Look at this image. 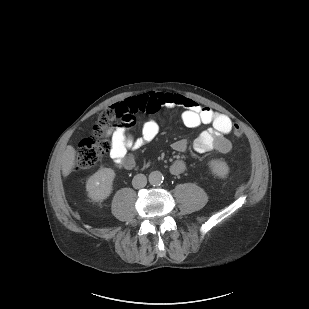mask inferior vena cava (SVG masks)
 <instances>
[{
    "label": "inferior vena cava",
    "instance_id": "obj_1",
    "mask_svg": "<svg viewBox=\"0 0 309 309\" xmlns=\"http://www.w3.org/2000/svg\"><path fill=\"white\" fill-rule=\"evenodd\" d=\"M147 184V178L144 174H137L132 180V185L135 189H140L145 187Z\"/></svg>",
    "mask_w": 309,
    "mask_h": 309
}]
</instances>
